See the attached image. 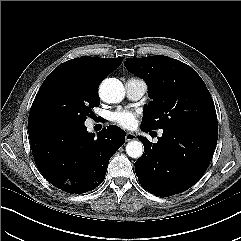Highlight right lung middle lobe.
I'll list each match as a JSON object with an SVG mask.
<instances>
[{"instance_id": "obj_1", "label": "right lung middle lobe", "mask_w": 241, "mask_h": 241, "mask_svg": "<svg viewBox=\"0 0 241 241\" xmlns=\"http://www.w3.org/2000/svg\"><path fill=\"white\" fill-rule=\"evenodd\" d=\"M98 106L97 92L86 89L70 71L54 69L33 101L28 132L82 125Z\"/></svg>"}]
</instances>
